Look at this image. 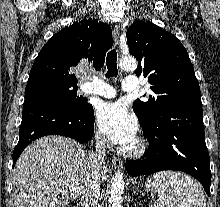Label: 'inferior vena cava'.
Wrapping results in <instances>:
<instances>
[{"instance_id":"1","label":"inferior vena cava","mask_w":220,"mask_h":207,"mask_svg":"<svg viewBox=\"0 0 220 207\" xmlns=\"http://www.w3.org/2000/svg\"><path fill=\"white\" fill-rule=\"evenodd\" d=\"M95 142V151L89 153L90 173L82 188L81 207H99L98 200L101 195L99 172L106 156V139L103 135L96 134Z\"/></svg>"}]
</instances>
